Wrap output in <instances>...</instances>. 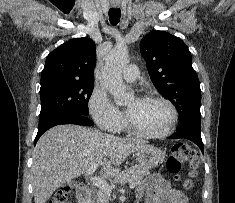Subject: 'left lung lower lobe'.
Here are the masks:
<instances>
[{"mask_svg":"<svg viewBox=\"0 0 235 203\" xmlns=\"http://www.w3.org/2000/svg\"><path fill=\"white\" fill-rule=\"evenodd\" d=\"M180 138L188 139L194 142L196 145L199 146L202 153H204V146H203V142L201 139V127L200 126H197L194 124H187V125L180 126L178 127V131L175 134L168 137V139H180Z\"/></svg>","mask_w":235,"mask_h":203,"instance_id":"0a47b994","label":"left lung lower lobe"}]
</instances>
